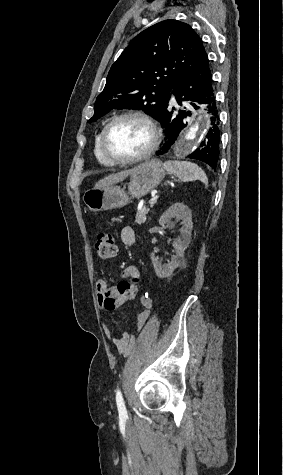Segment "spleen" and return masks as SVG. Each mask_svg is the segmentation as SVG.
Segmentation results:
<instances>
[{"instance_id": "spleen-1", "label": "spleen", "mask_w": 283, "mask_h": 475, "mask_svg": "<svg viewBox=\"0 0 283 475\" xmlns=\"http://www.w3.org/2000/svg\"><path fill=\"white\" fill-rule=\"evenodd\" d=\"M164 168L169 174L177 176L181 182L200 180V182L205 184V188H208V178L204 170H201L197 164H192V162H178V160L172 162V160H169V162H164Z\"/></svg>"}]
</instances>
